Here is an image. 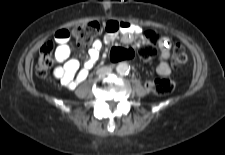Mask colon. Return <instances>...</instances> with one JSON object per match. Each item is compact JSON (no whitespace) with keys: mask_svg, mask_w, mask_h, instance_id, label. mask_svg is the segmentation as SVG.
Returning a JSON list of instances; mask_svg holds the SVG:
<instances>
[{"mask_svg":"<svg viewBox=\"0 0 225 155\" xmlns=\"http://www.w3.org/2000/svg\"><path fill=\"white\" fill-rule=\"evenodd\" d=\"M101 25L98 22H89L78 25L71 29L73 39L80 47H85L91 44L93 39L101 32ZM158 37L155 31L147 30L144 34L143 42L138 49L136 47L112 45L108 48V61L110 63H117L120 60L127 62L132 61L137 56L140 59V66L142 68H149L151 66V57L155 54L158 46ZM173 64L180 68L188 62V54L181 44H176L172 53ZM55 61L54 44L52 41H46L39 50L36 73L40 77H45L51 70ZM147 88L156 95L164 96L170 94L176 86L174 80L171 79H157L149 81L146 84Z\"/></svg>","mask_w":225,"mask_h":155,"instance_id":"colon-1","label":"colon"}]
</instances>
